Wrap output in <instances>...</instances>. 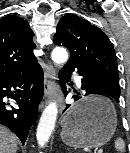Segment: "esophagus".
Segmentation results:
<instances>
[{
  "label": "esophagus",
  "mask_w": 130,
  "mask_h": 153,
  "mask_svg": "<svg viewBox=\"0 0 130 153\" xmlns=\"http://www.w3.org/2000/svg\"><path fill=\"white\" fill-rule=\"evenodd\" d=\"M44 92L47 99L56 96L57 104L60 111L64 109L63 97L59 93L58 87L56 85V71L51 64H47L44 73ZM42 108V106H41Z\"/></svg>",
  "instance_id": "34e87169"
}]
</instances>
